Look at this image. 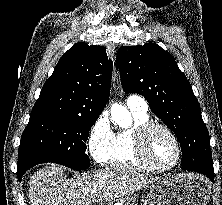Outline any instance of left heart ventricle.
<instances>
[{
    "instance_id": "b2bd125f",
    "label": "left heart ventricle",
    "mask_w": 222,
    "mask_h": 205,
    "mask_svg": "<svg viewBox=\"0 0 222 205\" xmlns=\"http://www.w3.org/2000/svg\"><path fill=\"white\" fill-rule=\"evenodd\" d=\"M146 148L150 157L161 166H169L175 161V144L163 130L154 129L148 134Z\"/></svg>"
}]
</instances>
